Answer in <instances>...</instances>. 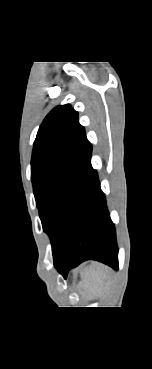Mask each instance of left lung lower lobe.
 Masks as SVG:
<instances>
[{
  "label": "left lung lower lobe",
  "instance_id": "1",
  "mask_svg": "<svg viewBox=\"0 0 152 369\" xmlns=\"http://www.w3.org/2000/svg\"><path fill=\"white\" fill-rule=\"evenodd\" d=\"M88 259L118 269L115 227L107 210L97 172L90 161L54 264L66 278L71 268Z\"/></svg>",
  "mask_w": 152,
  "mask_h": 369
}]
</instances>
